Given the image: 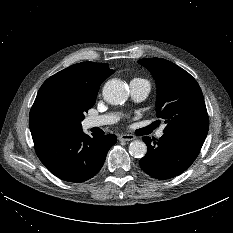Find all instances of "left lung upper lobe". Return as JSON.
Listing matches in <instances>:
<instances>
[{
    "instance_id": "1",
    "label": "left lung upper lobe",
    "mask_w": 233,
    "mask_h": 233,
    "mask_svg": "<svg viewBox=\"0 0 233 233\" xmlns=\"http://www.w3.org/2000/svg\"><path fill=\"white\" fill-rule=\"evenodd\" d=\"M157 86L156 115L164 119V133L194 132L207 135L209 118L202 91L184 69L162 58L138 61Z\"/></svg>"
}]
</instances>
